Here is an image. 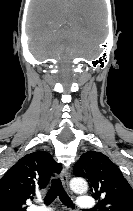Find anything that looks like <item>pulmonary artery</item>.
Listing matches in <instances>:
<instances>
[{"label":"pulmonary artery","mask_w":133,"mask_h":211,"mask_svg":"<svg viewBox=\"0 0 133 211\" xmlns=\"http://www.w3.org/2000/svg\"><path fill=\"white\" fill-rule=\"evenodd\" d=\"M95 206V200L90 196H80L78 198V207L81 210H91ZM31 211H50L45 207H34Z\"/></svg>","instance_id":"1"}]
</instances>
